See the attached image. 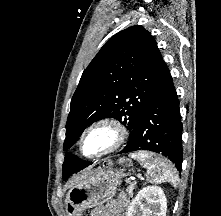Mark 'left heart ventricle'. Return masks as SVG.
<instances>
[{
	"mask_svg": "<svg viewBox=\"0 0 221 216\" xmlns=\"http://www.w3.org/2000/svg\"><path fill=\"white\" fill-rule=\"evenodd\" d=\"M112 140V134L107 129H96L84 140L83 151L85 154H95L107 147Z\"/></svg>",
	"mask_w": 221,
	"mask_h": 216,
	"instance_id": "1",
	"label": "left heart ventricle"
}]
</instances>
